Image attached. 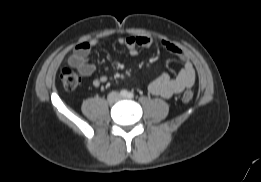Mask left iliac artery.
<instances>
[{
  "label": "left iliac artery",
  "mask_w": 261,
  "mask_h": 182,
  "mask_svg": "<svg viewBox=\"0 0 261 182\" xmlns=\"http://www.w3.org/2000/svg\"><path fill=\"white\" fill-rule=\"evenodd\" d=\"M127 97H128L129 99H132V98L134 97V94H133L132 92H129V93L127 94Z\"/></svg>",
  "instance_id": "1"
}]
</instances>
